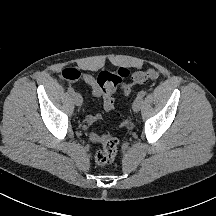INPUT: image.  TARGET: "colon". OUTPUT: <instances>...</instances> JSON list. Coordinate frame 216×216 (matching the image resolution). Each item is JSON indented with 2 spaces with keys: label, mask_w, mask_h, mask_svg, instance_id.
<instances>
[{
  "label": "colon",
  "mask_w": 216,
  "mask_h": 216,
  "mask_svg": "<svg viewBox=\"0 0 216 216\" xmlns=\"http://www.w3.org/2000/svg\"><path fill=\"white\" fill-rule=\"evenodd\" d=\"M129 76V71L125 68H119L116 71H102L97 79V83L102 90L104 104L107 108L113 109V94L121 86L125 94H129L132 86L142 84L147 81H154L159 77L156 68L151 67L145 71L137 72L132 76L130 83H123ZM62 77L69 81L80 78V72L75 68H66L62 71ZM118 139L112 135H105L101 142V148L95 154V162L98 165L110 164L118 150Z\"/></svg>",
  "instance_id": "colon-1"
}]
</instances>
